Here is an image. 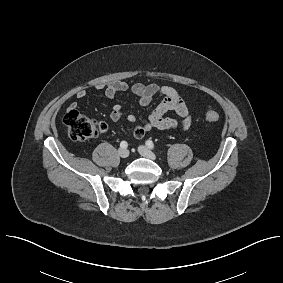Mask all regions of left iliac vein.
<instances>
[{"instance_id":"4c4485c4","label":"left iliac vein","mask_w":283,"mask_h":283,"mask_svg":"<svg viewBox=\"0 0 283 283\" xmlns=\"http://www.w3.org/2000/svg\"><path fill=\"white\" fill-rule=\"evenodd\" d=\"M138 151L143 157H146L151 160H156V155L152 151H150L146 146H139Z\"/></svg>"}]
</instances>
